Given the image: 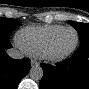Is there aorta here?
Wrapping results in <instances>:
<instances>
[{"instance_id": "aorta-1", "label": "aorta", "mask_w": 89, "mask_h": 89, "mask_svg": "<svg viewBox=\"0 0 89 89\" xmlns=\"http://www.w3.org/2000/svg\"><path fill=\"white\" fill-rule=\"evenodd\" d=\"M29 76L32 80L39 81L43 77V69L38 65L33 66L29 72Z\"/></svg>"}]
</instances>
